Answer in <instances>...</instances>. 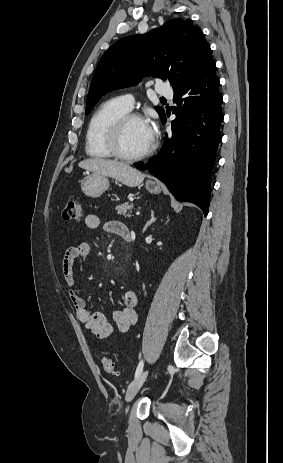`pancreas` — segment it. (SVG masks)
Wrapping results in <instances>:
<instances>
[{
    "mask_svg": "<svg viewBox=\"0 0 283 463\" xmlns=\"http://www.w3.org/2000/svg\"><path fill=\"white\" fill-rule=\"evenodd\" d=\"M132 209H133L132 203H124L116 207L117 214L122 215L125 218L131 217Z\"/></svg>",
    "mask_w": 283,
    "mask_h": 463,
    "instance_id": "cf45deb5",
    "label": "pancreas"
}]
</instances>
